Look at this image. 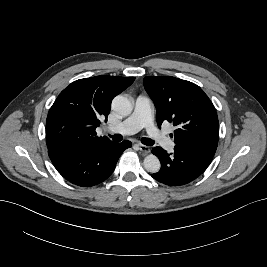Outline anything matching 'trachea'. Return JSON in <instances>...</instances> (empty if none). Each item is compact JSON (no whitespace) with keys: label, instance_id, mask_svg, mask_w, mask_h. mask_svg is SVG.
I'll list each match as a JSON object with an SVG mask.
<instances>
[{"label":"trachea","instance_id":"3493384b","mask_svg":"<svg viewBox=\"0 0 267 267\" xmlns=\"http://www.w3.org/2000/svg\"><path fill=\"white\" fill-rule=\"evenodd\" d=\"M112 138L113 141L115 142H120L122 140V136L120 134H115V135H112L110 136ZM141 142L144 144V145H147V146H152L154 145V141L150 138H145L143 137L141 139Z\"/></svg>","mask_w":267,"mask_h":267}]
</instances>
